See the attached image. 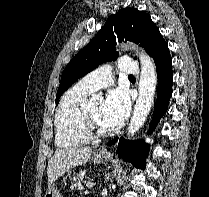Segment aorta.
<instances>
[{
  "instance_id": "aorta-1",
  "label": "aorta",
  "mask_w": 209,
  "mask_h": 197,
  "mask_svg": "<svg viewBox=\"0 0 209 197\" xmlns=\"http://www.w3.org/2000/svg\"><path fill=\"white\" fill-rule=\"evenodd\" d=\"M123 48L136 49L141 65V75L138 88L139 95L127 129L128 137H133L142 127L151 110L157 85V74L152 58L144 50L140 48L138 49V47L131 44L127 46L123 45ZM96 100L97 95H93L90 99V103L95 102Z\"/></svg>"
}]
</instances>
